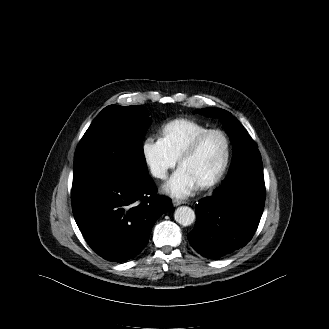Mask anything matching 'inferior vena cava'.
<instances>
[{
    "label": "inferior vena cava",
    "mask_w": 329,
    "mask_h": 329,
    "mask_svg": "<svg viewBox=\"0 0 329 329\" xmlns=\"http://www.w3.org/2000/svg\"><path fill=\"white\" fill-rule=\"evenodd\" d=\"M152 173L155 177L163 178L165 177L166 171L163 168H155Z\"/></svg>",
    "instance_id": "inferior-vena-cava-1"
}]
</instances>
